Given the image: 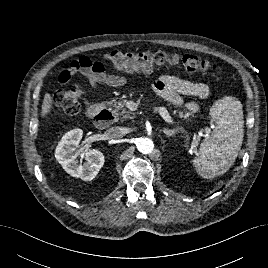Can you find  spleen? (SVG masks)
I'll return each instance as SVG.
<instances>
[{
	"label": "spleen",
	"mask_w": 268,
	"mask_h": 268,
	"mask_svg": "<svg viewBox=\"0 0 268 268\" xmlns=\"http://www.w3.org/2000/svg\"><path fill=\"white\" fill-rule=\"evenodd\" d=\"M213 131L200 144L192 160L199 175L213 179L223 175L233 165L244 137V115L241 102L235 97H223L210 108Z\"/></svg>",
	"instance_id": "obj_1"
}]
</instances>
